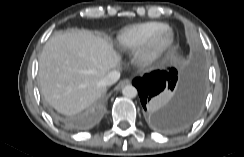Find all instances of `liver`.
Wrapping results in <instances>:
<instances>
[{"instance_id": "obj_1", "label": "liver", "mask_w": 244, "mask_h": 157, "mask_svg": "<svg viewBox=\"0 0 244 157\" xmlns=\"http://www.w3.org/2000/svg\"><path fill=\"white\" fill-rule=\"evenodd\" d=\"M119 64L120 56L106 37L80 29L56 34L39 57L41 92L59 113L77 114L104 95L102 81Z\"/></svg>"}]
</instances>
